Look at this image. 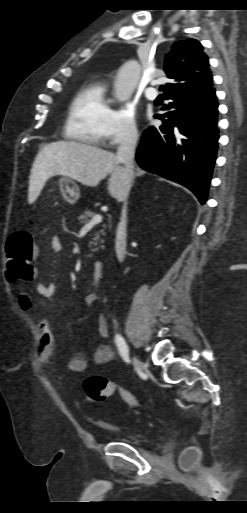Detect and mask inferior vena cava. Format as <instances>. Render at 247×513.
Here are the masks:
<instances>
[{
    "label": "inferior vena cava",
    "mask_w": 247,
    "mask_h": 513,
    "mask_svg": "<svg viewBox=\"0 0 247 513\" xmlns=\"http://www.w3.org/2000/svg\"><path fill=\"white\" fill-rule=\"evenodd\" d=\"M138 133L136 128L129 127L124 130L121 136L120 144L117 149V159L125 166V171L129 176L134 175V152L137 142ZM127 196L123 194L119 200L123 201V207L118 225L115 250L119 261H123L126 254V218H127Z\"/></svg>",
    "instance_id": "obj_1"
}]
</instances>
